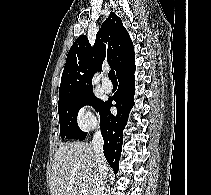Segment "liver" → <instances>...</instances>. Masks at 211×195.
Masks as SVG:
<instances>
[{"instance_id":"obj_1","label":"liver","mask_w":211,"mask_h":195,"mask_svg":"<svg viewBox=\"0 0 211 195\" xmlns=\"http://www.w3.org/2000/svg\"><path fill=\"white\" fill-rule=\"evenodd\" d=\"M97 164L93 145L61 144L53 157L50 195H93Z\"/></svg>"}]
</instances>
